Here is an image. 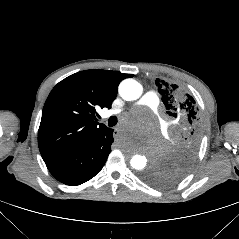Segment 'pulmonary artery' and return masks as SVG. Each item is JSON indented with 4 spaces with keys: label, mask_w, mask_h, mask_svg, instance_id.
<instances>
[{
    "label": "pulmonary artery",
    "mask_w": 239,
    "mask_h": 239,
    "mask_svg": "<svg viewBox=\"0 0 239 239\" xmlns=\"http://www.w3.org/2000/svg\"><path fill=\"white\" fill-rule=\"evenodd\" d=\"M139 106H146L151 110H156L159 105L158 95L153 91L146 92L142 98L136 103ZM123 111V109H114L109 112V115H116Z\"/></svg>",
    "instance_id": "pulmonary-artery-1"
}]
</instances>
